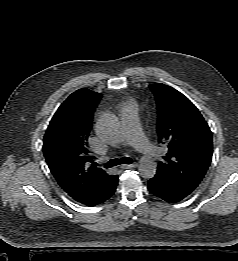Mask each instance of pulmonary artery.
Here are the masks:
<instances>
[{
  "label": "pulmonary artery",
  "mask_w": 238,
  "mask_h": 261,
  "mask_svg": "<svg viewBox=\"0 0 238 261\" xmlns=\"http://www.w3.org/2000/svg\"><path fill=\"white\" fill-rule=\"evenodd\" d=\"M123 126V141L133 146L139 152L150 156L158 157L159 150L152 145L144 135L135 105H126L120 112Z\"/></svg>",
  "instance_id": "pulmonary-artery-1"
}]
</instances>
